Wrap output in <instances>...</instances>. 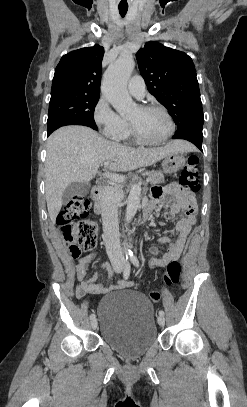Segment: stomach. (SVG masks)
<instances>
[{
    "mask_svg": "<svg viewBox=\"0 0 247 407\" xmlns=\"http://www.w3.org/2000/svg\"><path fill=\"white\" fill-rule=\"evenodd\" d=\"M185 163L186 158L182 153L167 155L162 162L163 172L168 174L175 173L184 167Z\"/></svg>",
    "mask_w": 247,
    "mask_h": 407,
    "instance_id": "1",
    "label": "stomach"
}]
</instances>
